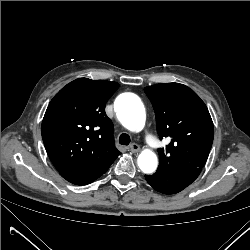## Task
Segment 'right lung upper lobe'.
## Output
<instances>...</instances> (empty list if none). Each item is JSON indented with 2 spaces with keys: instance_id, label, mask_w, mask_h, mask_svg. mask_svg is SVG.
<instances>
[{
  "instance_id": "1",
  "label": "right lung upper lobe",
  "mask_w": 250,
  "mask_h": 250,
  "mask_svg": "<svg viewBox=\"0 0 250 250\" xmlns=\"http://www.w3.org/2000/svg\"><path fill=\"white\" fill-rule=\"evenodd\" d=\"M116 82L79 78L51 100L43 121L47 154L60 175L94 169L120 152L114 146L113 124L105 113Z\"/></svg>"
}]
</instances>
